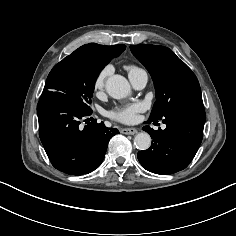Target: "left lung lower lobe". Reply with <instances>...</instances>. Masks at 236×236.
Masks as SVG:
<instances>
[{
    "label": "left lung lower lobe",
    "instance_id": "0a47b994",
    "mask_svg": "<svg viewBox=\"0 0 236 236\" xmlns=\"http://www.w3.org/2000/svg\"><path fill=\"white\" fill-rule=\"evenodd\" d=\"M206 120L203 102L189 101L166 113L162 122L165 130L144 126L151 135L152 145L138 152V160L148 171L156 174H173L185 169L201 144ZM157 122L149 119L146 124Z\"/></svg>",
    "mask_w": 236,
    "mask_h": 236
}]
</instances>
